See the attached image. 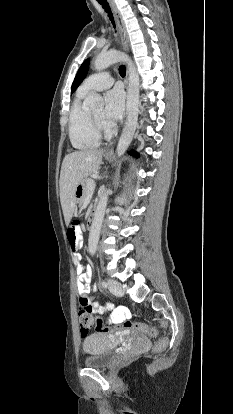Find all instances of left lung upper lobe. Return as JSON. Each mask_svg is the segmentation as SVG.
Masks as SVG:
<instances>
[{"label": "left lung upper lobe", "instance_id": "obj_1", "mask_svg": "<svg viewBox=\"0 0 233 414\" xmlns=\"http://www.w3.org/2000/svg\"><path fill=\"white\" fill-rule=\"evenodd\" d=\"M88 68H89V59L85 60L83 64L81 65V67L79 68L77 75L74 79V82L72 84V87H71V93H73L77 89V87L81 84V82L84 80L87 74Z\"/></svg>", "mask_w": 233, "mask_h": 414}]
</instances>
